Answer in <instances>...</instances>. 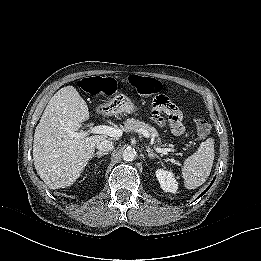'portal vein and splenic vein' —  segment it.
<instances>
[{"instance_id": "1", "label": "portal vein and splenic vein", "mask_w": 261, "mask_h": 261, "mask_svg": "<svg viewBox=\"0 0 261 261\" xmlns=\"http://www.w3.org/2000/svg\"><path fill=\"white\" fill-rule=\"evenodd\" d=\"M137 132H139L140 134H142L144 137H147V138L150 136V134L143 129H139V130H137ZM89 133L104 134V135H108L110 137H120V136H122L123 131L121 129H115L110 126L98 125V126L91 127L87 132L75 133L74 137L77 139L84 138ZM154 148L159 153L167 154V149H165V148H159V147H154ZM173 162L176 163L175 160H173Z\"/></svg>"}]
</instances>
